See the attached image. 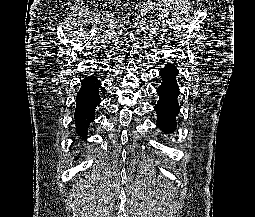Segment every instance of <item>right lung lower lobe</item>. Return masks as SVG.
Returning <instances> with one entry per match:
<instances>
[{
    "instance_id": "obj_1",
    "label": "right lung lower lobe",
    "mask_w": 255,
    "mask_h": 217,
    "mask_svg": "<svg viewBox=\"0 0 255 217\" xmlns=\"http://www.w3.org/2000/svg\"><path fill=\"white\" fill-rule=\"evenodd\" d=\"M101 82L94 75L84 77L81 88L76 97L74 113L76 132L78 136L86 138L89 123L94 120L95 108L100 103L98 89Z\"/></svg>"
}]
</instances>
